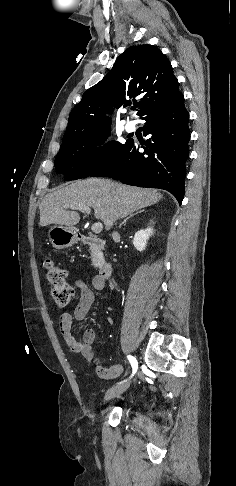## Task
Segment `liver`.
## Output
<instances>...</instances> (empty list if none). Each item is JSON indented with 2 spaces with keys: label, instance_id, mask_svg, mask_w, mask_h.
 Segmentation results:
<instances>
[{
  "label": "liver",
  "instance_id": "liver-1",
  "mask_svg": "<svg viewBox=\"0 0 236 486\" xmlns=\"http://www.w3.org/2000/svg\"><path fill=\"white\" fill-rule=\"evenodd\" d=\"M163 195L156 190L131 187L107 179L88 178L48 193L42 200L40 226L73 227L80 221L77 208L94 209V216L108 231L117 219L156 204Z\"/></svg>",
  "mask_w": 236,
  "mask_h": 486
}]
</instances>
